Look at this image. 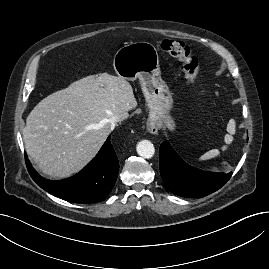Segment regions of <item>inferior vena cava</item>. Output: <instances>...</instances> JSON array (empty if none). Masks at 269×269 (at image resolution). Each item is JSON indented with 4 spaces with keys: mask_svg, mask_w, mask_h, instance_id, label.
I'll use <instances>...</instances> for the list:
<instances>
[{
    "mask_svg": "<svg viewBox=\"0 0 269 269\" xmlns=\"http://www.w3.org/2000/svg\"><path fill=\"white\" fill-rule=\"evenodd\" d=\"M120 121H122V116L121 115H115V116H112L109 119V122L112 125V127H114L116 125V123H118Z\"/></svg>",
    "mask_w": 269,
    "mask_h": 269,
    "instance_id": "obj_1",
    "label": "inferior vena cava"
}]
</instances>
